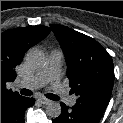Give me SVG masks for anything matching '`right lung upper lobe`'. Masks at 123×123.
Instances as JSON below:
<instances>
[{"label":"right lung upper lobe","mask_w":123,"mask_h":123,"mask_svg":"<svg viewBox=\"0 0 123 123\" xmlns=\"http://www.w3.org/2000/svg\"><path fill=\"white\" fill-rule=\"evenodd\" d=\"M51 29L46 26H27L1 33V102L21 97L6 88L8 82L16 78L15 69L25 52L45 38Z\"/></svg>","instance_id":"1"}]
</instances>
